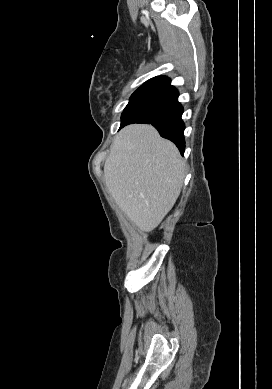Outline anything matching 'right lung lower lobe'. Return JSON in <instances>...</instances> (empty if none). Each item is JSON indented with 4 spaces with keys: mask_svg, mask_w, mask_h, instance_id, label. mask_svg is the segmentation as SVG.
Returning a JSON list of instances; mask_svg holds the SVG:
<instances>
[{
    "mask_svg": "<svg viewBox=\"0 0 272 389\" xmlns=\"http://www.w3.org/2000/svg\"><path fill=\"white\" fill-rule=\"evenodd\" d=\"M178 96L174 86L162 87L134 107L122 120L120 129L131 123L152 124L163 138L175 143L183 154L185 125L181 119L183 107L178 102Z\"/></svg>",
    "mask_w": 272,
    "mask_h": 389,
    "instance_id": "98d812e1",
    "label": "right lung lower lobe"
}]
</instances>
